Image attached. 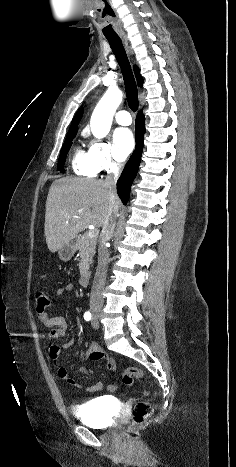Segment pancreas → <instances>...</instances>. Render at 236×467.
Returning a JSON list of instances; mask_svg holds the SVG:
<instances>
[{
    "instance_id": "obj_1",
    "label": "pancreas",
    "mask_w": 236,
    "mask_h": 467,
    "mask_svg": "<svg viewBox=\"0 0 236 467\" xmlns=\"http://www.w3.org/2000/svg\"><path fill=\"white\" fill-rule=\"evenodd\" d=\"M96 243V238H90L88 233H85L76 239V247L79 250L81 257V262L79 263L81 275L88 274L89 265L92 263V258L95 255Z\"/></svg>"
}]
</instances>
